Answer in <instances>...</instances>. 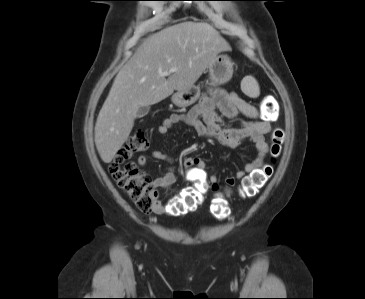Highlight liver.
<instances>
[{
  "mask_svg": "<svg viewBox=\"0 0 365 299\" xmlns=\"http://www.w3.org/2000/svg\"><path fill=\"white\" fill-rule=\"evenodd\" d=\"M231 47L204 22L184 21L147 39L119 71L95 125V144L110 163L128 139L137 110L154 105L175 90L192 87L222 51ZM176 67L167 79L160 72Z\"/></svg>",
  "mask_w": 365,
  "mask_h": 299,
  "instance_id": "1",
  "label": "liver"
}]
</instances>
